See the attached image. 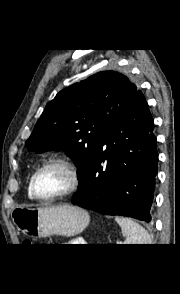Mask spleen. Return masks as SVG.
<instances>
[{"label": "spleen", "instance_id": "spleen-1", "mask_svg": "<svg viewBox=\"0 0 180 294\" xmlns=\"http://www.w3.org/2000/svg\"><path fill=\"white\" fill-rule=\"evenodd\" d=\"M115 221L121 227L126 236L124 244H150L151 238L148 232L137 222L130 218L115 217Z\"/></svg>", "mask_w": 180, "mask_h": 294}]
</instances>
